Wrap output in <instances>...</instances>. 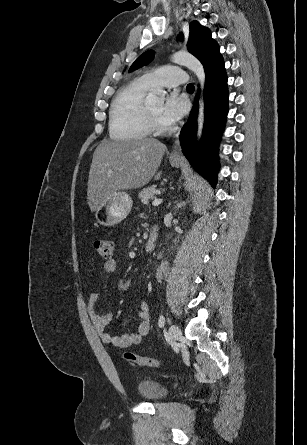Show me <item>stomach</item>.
Masks as SVG:
<instances>
[{
	"mask_svg": "<svg viewBox=\"0 0 307 445\" xmlns=\"http://www.w3.org/2000/svg\"><path fill=\"white\" fill-rule=\"evenodd\" d=\"M172 166H179L178 160H170ZM132 198L128 192H113L102 206L95 210V218L99 225L103 227H115L121 220L126 218L132 208Z\"/></svg>",
	"mask_w": 307,
	"mask_h": 445,
	"instance_id": "obj_1",
	"label": "stomach"
}]
</instances>
